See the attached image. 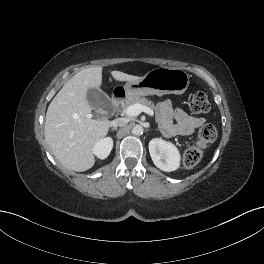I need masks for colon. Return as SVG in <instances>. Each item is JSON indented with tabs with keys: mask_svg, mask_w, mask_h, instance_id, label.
I'll list each match as a JSON object with an SVG mask.
<instances>
[{
	"mask_svg": "<svg viewBox=\"0 0 264 264\" xmlns=\"http://www.w3.org/2000/svg\"><path fill=\"white\" fill-rule=\"evenodd\" d=\"M190 109L194 113H206L210 109V103L205 93L195 92L190 101ZM217 130L212 124L203 125L198 132V140L195 146L188 148L184 153L183 164L186 168L196 166L202 157L203 149L214 142Z\"/></svg>",
	"mask_w": 264,
	"mask_h": 264,
	"instance_id": "obj_1",
	"label": "colon"
}]
</instances>
